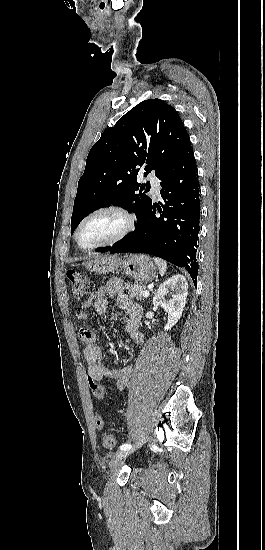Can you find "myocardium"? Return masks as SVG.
<instances>
[{"label":"myocardium","instance_id":"1","mask_svg":"<svg viewBox=\"0 0 265 550\" xmlns=\"http://www.w3.org/2000/svg\"><path fill=\"white\" fill-rule=\"evenodd\" d=\"M105 212L114 213V214L120 216L123 219V222H124L122 229L114 237H112L111 239H109L107 241H104V242H101V243H98V244H95V245H92V246H89V247L82 246L79 242L78 236H79L80 229L82 228L84 223L87 220H89L90 218H92L93 216H95L97 214H100V213H105ZM135 225H136V217L131 212H129L128 210H126L124 208H121L119 206H115V205L102 206V207H99V208H96V209L92 210L91 212H89L87 215H85L80 220V222L78 223V225H77V227L74 231V240H75V243L77 244V246L81 250H84V251H92V250H96V249H99V248L109 247V246H112V245L120 242L125 237H127L134 230Z\"/></svg>","mask_w":265,"mask_h":550}]
</instances>
